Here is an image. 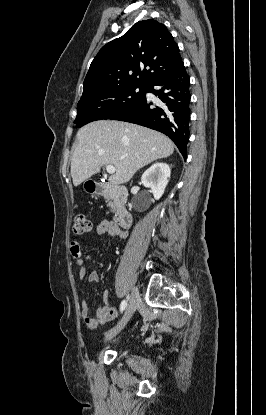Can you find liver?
I'll return each instance as SVG.
<instances>
[{"mask_svg":"<svg viewBox=\"0 0 266 415\" xmlns=\"http://www.w3.org/2000/svg\"><path fill=\"white\" fill-rule=\"evenodd\" d=\"M174 152L173 142L165 135L121 121L98 120L80 128L71 161L74 186L111 164L113 185L127 183L140 168Z\"/></svg>","mask_w":266,"mask_h":415,"instance_id":"1","label":"liver"}]
</instances>
